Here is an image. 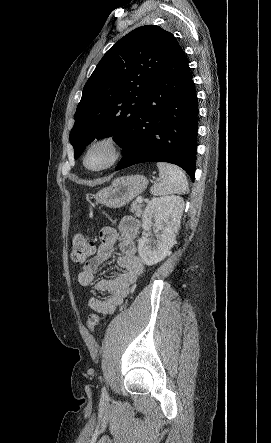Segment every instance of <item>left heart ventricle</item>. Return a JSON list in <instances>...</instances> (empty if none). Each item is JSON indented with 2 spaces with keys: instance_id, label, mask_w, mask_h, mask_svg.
Listing matches in <instances>:
<instances>
[{
  "instance_id": "1",
  "label": "left heart ventricle",
  "mask_w": 271,
  "mask_h": 443,
  "mask_svg": "<svg viewBox=\"0 0 271 443\" xmlns=\"http://www.w3.org/2000/svg\"><path fill=\"white\" fill-rule=\"evenodd\" d=\"M110 157V147L107 144H97L87 151L84 158V165L88 169H96L107 163Z\"/></svg>"
}]
</instances>
